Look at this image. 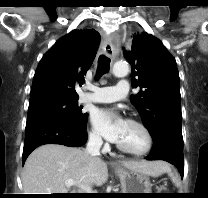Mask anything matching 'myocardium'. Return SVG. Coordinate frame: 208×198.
<instances>
[{
  "mask_svg": "<svg viewBox=\"0 0 208 198\" xmlns=\"http://www.w3.org/2000/svg\"><path fill=\"white\" fill-rule=\"evenodd\" d=\"M127 122L138 127L142 131V133L145 137V140H146L145 146H144V148H142L140 150H133V149L127 148V147L117 143L116 144L117 148L120 151H122L126 154H129V155H132V156H144V155L148 154L152 150L153 145H154V138H153V135H152L150 129L144 123H142L141 121L135 120V119H128Z\"/></svg>",
  "mask_w": 208,
  "mask_h": 198,
  "instance_id": "f54148a6",
  "label": "myocardium"
}]
</instances>
